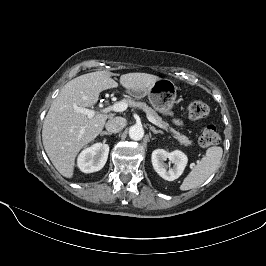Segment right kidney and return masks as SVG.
Instances as JSON below:
<instances>
[{"mask_svg":"<svg viewBox=\"0 0 266 266\" xmlns=\"http://www.w3.org/2000/svg\"><path fill=\"white\" fill-rule=\"evenodd\" d=\"M109 146L104 143H96L84 149L78 156L77 164L84 173H93L101 170L108 158Z\"/></svg>","mask_w":266,"mask_h":266,"instance_id":"right-kidney-1","label":"right kidney"}]
</instances>
